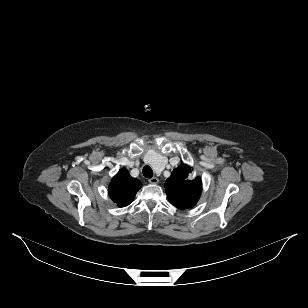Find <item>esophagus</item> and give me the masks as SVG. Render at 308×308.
<instances>
[{"instance_id":"1","label":"esophagus","mask_w":308,"mask_h":308,"mask_svg":"<svg viewBox=\"0 0 308 308\" xmlns=\"http://www.w3.org/2000/svg\"><path fill=\"white\" fill-rule=\"evenodd\" d=\"M148 181L151 184H157L159 182V179L157 177H152Z\"/></svg>"}]
</instances>
